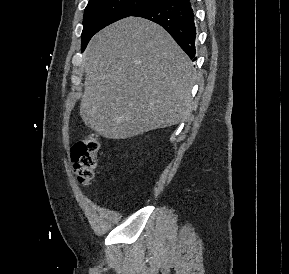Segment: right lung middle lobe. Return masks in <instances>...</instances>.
Instances as JSON below:
<instances>
[{"mask_svg": "<svg viewBox=\"0 0 289 274\" xmlns=\"http://www.w3.org/2000/svg\"><path fill=\"white\" fill-rule=\"evenodd\" d=\"M161 0H90L84 12L82 51L91 37L107 25L129 17Z\"/></svg>", "mask_w": 289, "mask_h": 274, "instance_id": "1", "label": "right lung middle lobe"}]
</instances>
